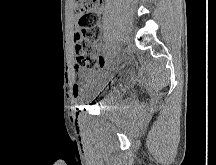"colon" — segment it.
I'll return each instance as SVG.
<instances>
[{"mask_svg": "<svg viewBox=\"0 0 216 165\" xmlns=\"http://www.w3.org/2000/svg\"><path fill=\"white\" fill-rule=\"evenodd\" d=\"M79 15L78 28L74 34L76 66L90 72H98L103 67L96 42L100 36L97 9L103 0H74Z\"/></svg>", "mask_w": 216, "mask_h": 165, "instance_id": "5ec220e1", "label": "colon"}]
</instances>
